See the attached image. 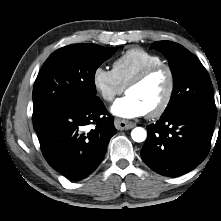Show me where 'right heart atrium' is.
Here are the masks:
<instances>
[{
	"label": "right heart atrium",
	"instance_id": "right-heart-atrium-1",
	"mask_svg": "<svg viewBox=\"0 0 221 221\" xmlns=\"http://www.w3.org/2000/svg\"><path fill=\"white\" fill-rule=\"evenodd\" d=\"M92 83L97 94L105 102H112L124 91V86L119 82L114 72L102 66H98L93 71Z\"/></svg>",
	"mask_w": 221,
	"mask_h": 221
}]
</instances>
